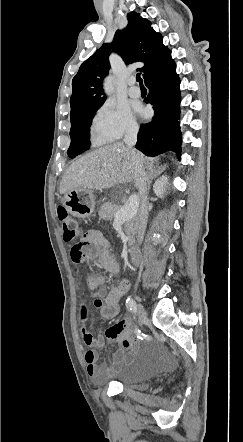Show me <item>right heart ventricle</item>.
I'll list each match as a JSON object with an SVG mask.
<instances>
[{
    "mask_svg": "<svg viewBox=\"0 0 243 442\" xmlns=\"http://www.w3.org/2000/svg\"><path fill=\"white\" fill-rule=\"evenodd\" d=\"M92 139L96 144L106 143L104 139H102L95 131L92 130Z\"/></svg>",
    "mask_w": 243,
    "mask_h": 442,
    "instance_id": "right-heart-ventricle-1",
    "label": "right heart ventricle"
}]
</instances>
